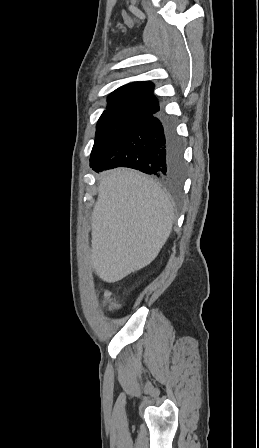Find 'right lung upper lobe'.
<instances>
[{
	"label": "right lung upper lobe",
	"instance_id": "right-lung-upper-lobe-1",
	"mask_svg": "<svg viewBox=\"0 0 259 448\" xmlns=\"http://www.w3.org/2000/svg\"><path fill=\"white\" fill-rule=\"evenodd\" d=\"M154 84L150 81H136L116 89L108 96L105 114L137 113L142 116L160 111L154 93Z\"/></svg>",
	"mask_w": 259,
	"mask_h": 448
}]
</instances>
